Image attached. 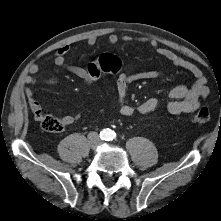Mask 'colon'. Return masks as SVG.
<instances>
[{"label": "colon", "instance_id": "5ec220e1", "mask_svg": "<svg viewBox=\"0 0 221 221\" xmlns=\"http://www.w3.org/2000/svg\"><path fill=\"white\" fill-rule=\"evenodd\" d=\"M121 68V60L118 56L112 54H103L97 61L92 62L88 66L89 77L88 82L97 80L102 73H116ZM211 114L208 108H200L192 117L191 122L195 124H206L209 122ZM40 124L47 132L57 133L64 130L65 125L61 118L52 114H43L40 117Z\"/></svg>", "mask_w": 221, "mask_h": 221}]
</instances>
